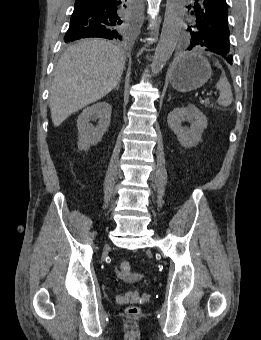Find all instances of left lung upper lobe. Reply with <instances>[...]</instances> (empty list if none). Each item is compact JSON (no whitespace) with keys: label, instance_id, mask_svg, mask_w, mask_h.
Here are the masks:
<instances>
[{"label":"left lung upper lobe","instance_id":"5c2ea615","mask_svg":"<svg viewBox=\"0 0 261 340\" xmlns=\"http://www.w3.org/2000/svg\"><path fill=\"white\" fill-rule=\"evenodd\" d=\"M229 34L227 18L208 17L205 22L200 23H195L193 19L185 34L184 43L186 49H190V44L194 41L192 48L200 46L205 51L213 52L227 59L231 54Z\"/></svg>","mask_w":261,"mask_h":340}]
</instances>
